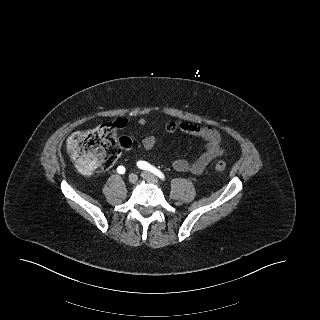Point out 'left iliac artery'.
I'll return each instance as SVG.
<instances>
[{
  "label": "left iliac artery",
  "mask_w": 320,
  "mask_h": 320,
  "mask_svg": "<svg viewBox=\"0 0 320 320\" xmlns=\"http://www.w3.org/2000/svg\"><path fill=\"white\" fill-rule=\"evenodd\" d=\"M137 166L141 169L148 170V171L154 173L155 175H157L160 179L165 180V175L160 170H158L156 167L150 165L149 163H147L145 161H139L137 163Z\"/></svg>",
  "instance_id": "44dca946"
}]
</instances>
